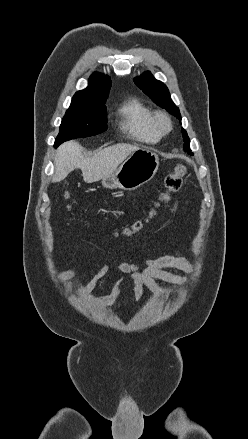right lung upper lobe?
<instances>
[{
	"mask_svg": "<svg viewBox=\"0 0 248 439\" xmlns=\"http://www.w3.org/2000/svg\"><path fill=\"white\" fill-rule=\"evenodd\" d=\"M111 83L109 77L101 73H93L88 87L78 91L72 98V103L105 104Z\"/></svg>",
	"mask_w": 248,
	"mask_h": 439,
	"instance_id": "obj_1",
	"label": "right lung upper lobe"
}]
</instances>
